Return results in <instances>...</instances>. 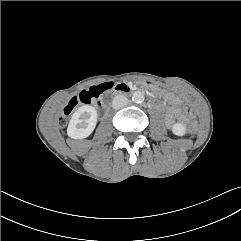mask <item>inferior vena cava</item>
<instances>
[{"mask_svg": "<svg viewBox=\"0 0 241 241\" xmlns=\"http://www.w3.org/2000/svg\"><path fill=\"white\" fill-rule=\"evenodd\" d=\"M128 102V99L123 96V95H117L114 97L113 101H112V107L114 109H120L122 107H124Z\"/></svg>", "mask_w": 241, "mask_h": 241, "instance_id": "1", "label": "inferior vena cava"}]
</instances>
